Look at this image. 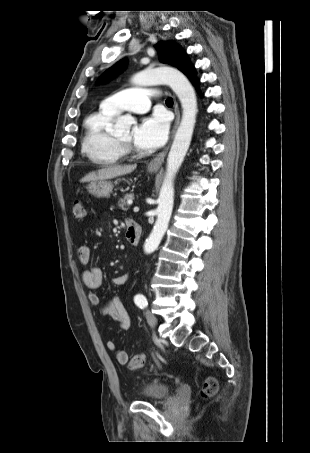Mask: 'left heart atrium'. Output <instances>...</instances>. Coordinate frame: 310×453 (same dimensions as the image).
I'll return each instance as SVG.
<instances>
[{"label": "left heart atrium", "mask_w": 310, "mask_h": 453, "mask_svg": "<svg viewBox=\"0 0 310 453\" xmlns=\"http://www.w3.org/2000/svg\"><path fill=\"white\" fill-rule=\"evenodd\" d=\"M168 129V120L164 115L153 114L144 117L133 130V143L140 149H157L165 142Z\"/></svg>", "instance_id": "1"}]
</instances>
